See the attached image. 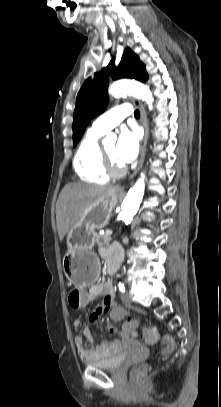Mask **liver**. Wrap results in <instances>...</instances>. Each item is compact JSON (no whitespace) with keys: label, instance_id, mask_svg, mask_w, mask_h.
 <instances>
[{"label":"liver","instance_id":"obj_1","mask_svg":"<svg viewBox=\"0 0 221 407\" xmlns=\"http://www.w3.org/2000/svg\"><path fill=\"white\" fill-rule=\"evenodd\" d=\"M109 190H111L110 187L82 183H70L62 189L56 204V222L60 241L96 198Z\"/></svg>","mask_w":221,"mask_h":407}]
</instances>
